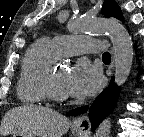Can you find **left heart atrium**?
I'll list each match as a JSON object with an SVG mask.
<instances>
[{"label": "left heart atrium", "mask_w": 144, "mask_h": 137, "mask_svg": "<svg viewBox=\"0 0 144 137\" xmlns=\"http://www.w3.org/2000/svg\"><path fill=\"white\" fill-rule=\"evenodd\" d=\"M100 81L101 74L98 69L87 62L81 61L67 77L65 83L66 94L78 99H85L96 91Z\"/></svg>", "instance_id": "obj_1"}]
</instances>
